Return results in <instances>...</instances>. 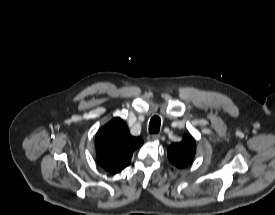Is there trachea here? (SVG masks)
Segmentation results:
<instances>
[{
  "mask_svg": "<svg viewBox=\"0 0 275 215\" xmlns=\"http://www.w3.org/2000/svg\"><path fill=\"white\" fill-rule=\"evenodd\" d=\"M161 119L158 116H154L151 118L149 123V132L151 134H156L160 130Z\"/></svg>",
  "mask_w": 275,
  "mask_h": 215,
  "instance_id": "trachea-1",
  "label": "trachea"
}]
</instances>
